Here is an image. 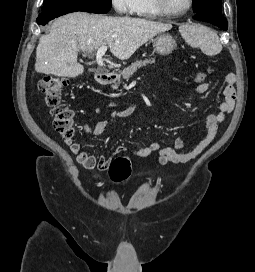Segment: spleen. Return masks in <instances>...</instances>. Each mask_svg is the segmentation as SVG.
Listing matches in <instances>:
<instances>
[{
  "mask_svg": "<svg viewBox=\"0 0 255 272\" xmlns=\"http://www.w3.org/2000/svg\"><path fill=\"white\" fill-rule=\"evenodd\" d=\"M183 39L188 45L200 48L207 55L221 52L222 45L215 31L201 24H185L179 27Z\"/></svg>",
  "mask_w": 255,
  "mask_h": 272,
  "instance_id": "obj_1",
  "label": "spleen"
}]
</instances>
